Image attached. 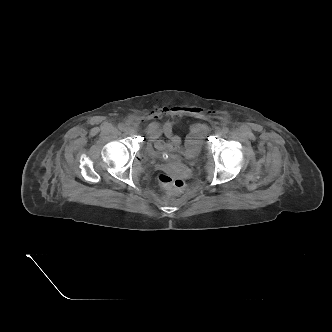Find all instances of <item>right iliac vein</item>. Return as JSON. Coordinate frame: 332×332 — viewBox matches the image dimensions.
<instances>
[{"mask_svg": "<svg viewBox=\"0 0 332 332\" xmlns=\"http://www.w3.org/2000/svg\"><path fill=\"white\" fill-rule=\"evenodd\" d=\"M125 131H126L128 134H132V133H133V128H131V127H126V128H125Z\"/></svg>", "mask_w": 332, "mask_h": 332, "instance_id": "1", "label": "right iliac vein"}]
</instances>
